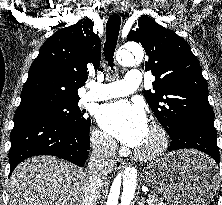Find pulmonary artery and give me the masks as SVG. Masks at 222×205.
<instances>
[{
  "label": "pulmonary artery",
  "instance_id": "1",
  "mask_svg": "<svg viewBox=\"0 0 222 205\" xmlns=\"http://www.w3.org/2000/svg\"><path fill=\"white\" fill-rule=\"evenodd\" d=\"M141 77L137 69L128 70L126 77L112 83H94L86 93L88 101H103L133 93L140 85Z\"/></svg>",
  "mask_w": 222,
  "mask_h": 205
}]
</instances>
